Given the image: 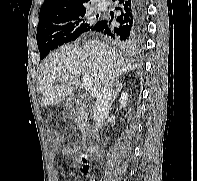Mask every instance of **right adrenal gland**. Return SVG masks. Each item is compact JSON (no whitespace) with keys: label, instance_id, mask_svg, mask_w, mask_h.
Segmentation results:
<instances>
[{"label":"right adrenal gland","instance_id":"right-adrenal-gland-1","mask_svg":"<svg viewBox=\"0 0 197 181\" xmlns=\"http://www.w3.org/2000/svg\"><path fill=\"white\" fill-rule=\"evenodd\" d=\"M122 90V84L119 83V80L116 79V88L113 92V98H112V101H111V105L113 104V102L115 101V99L117 98L118 96V93Z\"/></svg>","mask_w":197,"mask_h":181}]
</instances>
